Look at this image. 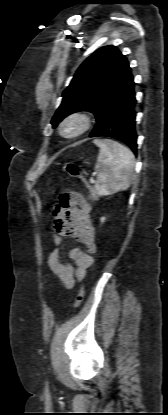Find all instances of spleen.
<instances>
[{"label":"spleen","instance_id":"3e777b00","mask_svg":"<svg viewBox=\"0 0 168 415\" xmlns=\"http://www.w3.org/2000/svg\"><path fill=\"white\" fill-rule=\"evenodd\" d=\"M99 155L95 164L97 181L96 193L111 195L129 188L133 175L135 158L130 149L110 139H95Z\"/></svg>","mask_w":168,"mask_h":415}]
</instances>
